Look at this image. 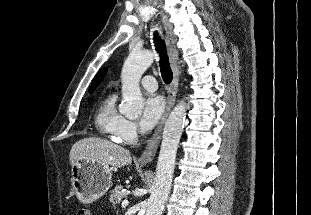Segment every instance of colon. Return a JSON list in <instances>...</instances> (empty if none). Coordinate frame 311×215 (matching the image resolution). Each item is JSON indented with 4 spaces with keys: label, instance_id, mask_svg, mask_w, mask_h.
<instances>
[{
    "label": "colon",
    "instance_id": "5ec220e1",
    "mask_svg": "<svg viewBox=\"0 0 311 215\" xmlns=\"http://www.w3.org/2000/svg\"><path fill=\"white\" fill-rule=\"evenodd\" d=\"M77 215H90V212L87 209L81 208L78 210Z\"/></svg>",
    "mask_w": 311,
    "mask_h": 215
}]
</instances>
